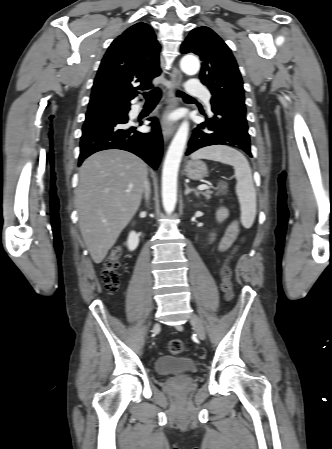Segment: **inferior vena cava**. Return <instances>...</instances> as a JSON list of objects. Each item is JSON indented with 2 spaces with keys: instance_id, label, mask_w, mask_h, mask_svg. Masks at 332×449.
I'll return each instance as SVG.
<instances>
[{
  "instance_id": "602c4592",
  "label": "inferior vena cava",
  "mask_w": 332,
  "mask_h": 449,
  "mask_svg": "<svg viewBox=\"0 0 332 449\" xmlns=\"http://www.w3.org/2000/svg\"><path fill=\"white\" fill-rule=\"evenodd\" d=\"M144 193H145L146 200H148L149 193H150V187H149V183H148L147 179H145V181H144Z\"/></svg>"
}]
</instances>
